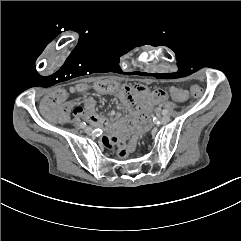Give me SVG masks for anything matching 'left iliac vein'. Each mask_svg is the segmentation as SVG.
<instances>
[{
    "label": "left iliac vein",
    "mask_w": 241,
    "mask_h": 241,
    "mask_svg": "<svg viewBox=\"0 0 241 241\" xmlns=\"http://www.w3.org/2000/svg\"><path fill=\"white\" fill-rule=\"evenodd\" d=\"M159 121L161 124H167L170 121V117L168 115H165V116L159 118Z\"/></svg>",
    "instance_id": "1"
}]
</instances>
